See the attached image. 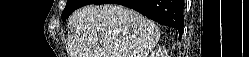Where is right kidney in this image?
<instances>
[{
	"mask_svg": "<svg viewBox=\"0 0 249 57\" xmlns=\"http://www.w3.org/2000/svg\"><path fill=\"white\" fill-rule=\"evenodd\" d=\"M164 55H165V53H163V52H157V53H155V57H164Z\"/></svg>",
	"mask_w": 249,
	"mask_h": 57,
	"instance_id": "right-kidney-1",
	"label": "right kidney"
}]
</instances>
